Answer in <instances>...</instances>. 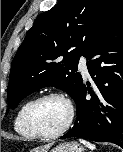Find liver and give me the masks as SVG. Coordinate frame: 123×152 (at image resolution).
<instances>
[{"instance_id":"6515ba94","label":"liver","mask_w":123,"mask_h":152,"mask_svg":"<svg viewBox=\"0 0 123 152\" xmlns=\"http://www.w3.org/2000/svg\"><path fill=\"white\" fill-rule=\"evenodd\" d=\"M50 147H51V144H48V145H44L42 147H37L35 149H32L30 152H48Z\"/></svg>"}]
</instances>
